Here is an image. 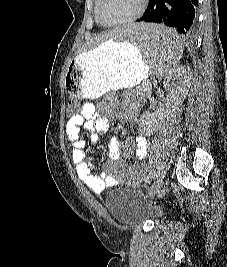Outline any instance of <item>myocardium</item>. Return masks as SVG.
Instances as JSON below:
<instances>
[{
  "label": "myocardium",
  "instance_id": "obj_1",
  "mask_svg": "<svg viewBox=\"0 0 227 267\" xmlns=\"http://www.w3.org/2000/svg\"><path fill=\"white\" fill-rule=\"evenodd\" d=\"M102 5H103V0H98L97 14H98V17H99L100 21L104 25L115 26V25H122V24L131 23V22L136 21L137 19H139L147 9L148 0H141L139 9L137 10V12H135L130 17H128L126 19L119 20V21H114V22H109V21L105 20V18L103 16V13H102Z\"/></svg>",
  "mask_w": 227,
  "mask_h": 267
}]
</instances>
